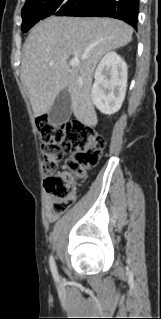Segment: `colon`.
I'll use <instances>...</instances> for the list:
<instances>
[{"instance_id":"obj_1","label":"colon","mask_w":161,"mask_h":319,"mask_svg":"<svg viewBox=\"0 0 161 319\" xmlns=\"http://www.w3.org/2000/svg\"><path fill=\"white\" fill-rule=\"evenodd\" d=\"M41 142L44 187L52 197L51 211L63 214L76 199L73 177L83 178L86 168L96 164L105 141L92 128L78 121L50 122L42 119L37 124ZM64 153L71 157L66 169L58 171Z\"/></svg>"}]
</instances>
